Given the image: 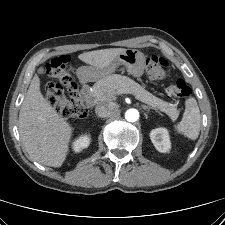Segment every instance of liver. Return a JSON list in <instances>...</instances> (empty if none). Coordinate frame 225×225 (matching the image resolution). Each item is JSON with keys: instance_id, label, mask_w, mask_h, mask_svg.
Masks as SVG:
<instances>
[{"instance_id": "6515ba94", "label": "liver", "mask_w": 225, "mask_h": 225, "mask_svg": "<svg viewBox=\"0 0 225 225\" xmlns=\"http://www.w3.org/2000/svg\"><path fill=\"white\" fill-rule=\"evenodd\" d=\"M125 50L90 51L78 58L97 69H104ZM18 122L20 138L30 158L43 165L61 167L69 151L73 129L42 95L38 75L31 80Z\"/></svg>"}]
</instances>
